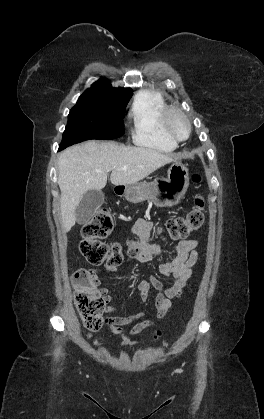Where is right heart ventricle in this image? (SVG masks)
Masks as SVG:
<instances>
[{"mask_svg": "<svg viewBox=\"0 0 264 419\" xmlns=\"http://www.w3.org/2000/svg\"><path fill=\"white\" fill-rule=\"evenodd\" d=\"M166 108L167 103L158 91L145 89L135 95L129 111L131 137L135 144L162 152L176 149L177 143L169 139L162 128Z\"/></svg>", "mask_w": 264, "mask_h": 419, "instance_id": "right-heart-ventricle-1", "label": "right heart ventricle"}]
</instances>
